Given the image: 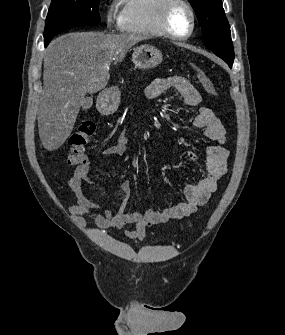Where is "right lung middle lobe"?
<instances>
[{
	"label": "right lung middle lobe",
	"instance_id": "right-lung-middle-lobe-1",
	"mask_svg": "<svg viewBox=\"0 0 285 335\" xmlns=\"http://www.w3.org/2000/svg\"><path fill=\"white\" fill-rule=\"evenodd\" d=\"M100 0H52L45 22L44 42L47 44L64 30L100 22Z\"/></svg>",
	"mask_w": 285,
	"mask_h": 335
}]
</instances>
